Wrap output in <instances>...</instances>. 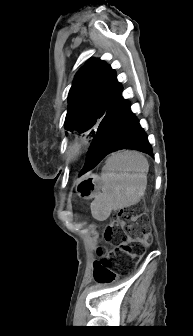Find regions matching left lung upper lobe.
Returning a JSON list of instances; mask_svg holds the SVG:
<instances>
[{
    "label": "left lung upper lobe",
    "mask_w": 193,
    "mask_h": 336,
    "mask_svg": "<svg viewBox=\"0 0 193 336\" xmlns=\"http://www.w3.org/2000/svg\"><path fill=\"white\" fill-rule=\"evenodd\" d=\"M115 71L99 59H90L75 75L68 96L65 128L68 131L96 130L121 96Z\"/></svg>",
    "instance_id": "1"
}]
</instances>
